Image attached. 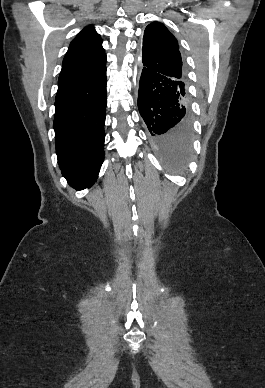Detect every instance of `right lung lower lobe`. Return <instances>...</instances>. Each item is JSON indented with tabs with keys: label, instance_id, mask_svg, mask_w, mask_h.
<instances>
[{
	"label": "right lung lower lobe",
	"instance_id": "98d812e1",
	"mask_svg": "<svg viewBox=\"0 0 265 388\" xmlns=\"http://www.w3.org/2000/svg\"><path fill=\"white\" fill-rule=\"evenodd\" d=\"M106 105V72L57 91L53 127L58 163L77 190L94 184L103 163Z\"/></svg>",
	"mask_w": 265,
	"mask_h": 388
}]
</instances>
